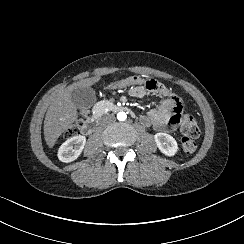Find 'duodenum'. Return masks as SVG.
Returning <instances> with one entry per match:
<instances>
[{"instance_id": "410a0bca", "label": "duodenum", "mask_w": 244, "mask_h": 244, "mask_svg": "<svg viewBox=\"0 0 244 244\" xmlns=\"http://www.w3.org/2000/svg\"><path fill=\"white\" fill-rule=\"evenodd\" d=\"M116 110H128V108L125 105L118 104L116 105ZM100 116V112L94 113L92 116H90L82 125L81 131L85 135H89L93 132L95 128L96 121L98 117Z\"/></svg>"}]
</instances>
